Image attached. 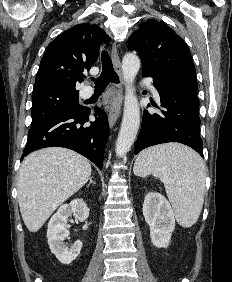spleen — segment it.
<instances>
[{
    "label": "spleen",
    "instance_id": "obj_1",
    "mask_svg": "<svg viewBox=\"0 0 232 282\" xmlns=\"http://www.w3.org/2000/svg\"><path fill=\"white\" fill-rule=\"evenodd\" d=\"M134 173L152 174L165 186L177 222L191 227L201 213L205 193V165L190 148L172 143L142 151L134 164Z\"/></svg>",
    "mask_w": 232,
    "mask_h": 282
}]
</instances>
